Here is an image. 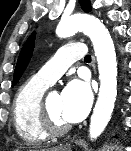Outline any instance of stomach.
Masks as SVG:
<instances>
[{
	"mask_svg": "<svg viewBox=\"0 0 131 151\" xmlns=\"http://www.w3.org/2000/svg\"><path fill=\"white\" fill-rule=\"evenodd\" d=\"M57 151H71V148L70 147L59 148Z\"/></svg>",
	"mask_w": 131,
	"mask_h": 151,
	"instance_id": "stomach-1",
	"label": "stomach"
}]
</instances>
